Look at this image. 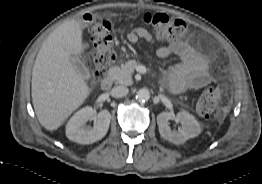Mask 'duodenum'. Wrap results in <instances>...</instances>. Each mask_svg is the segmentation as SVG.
Returning <instances> with one entry per match:
<instances>
[{
    "label": "duodenum",
    "instance_id": "1",
    "mask_svg": "<svg viewBox=\"0 0 262 184\" xmlns=\"http://www.w3.org/2000/svg\"><path fill=\"white\" fill-rule=\"evenodd\" d=\"M113 84V79L110 75L106 76L105 78L102 79L101 81V88L104 91H109L112 87Z\"/></svg>",
    "mask_w": 262,
    "mask_h": 184
}]
</instances>
